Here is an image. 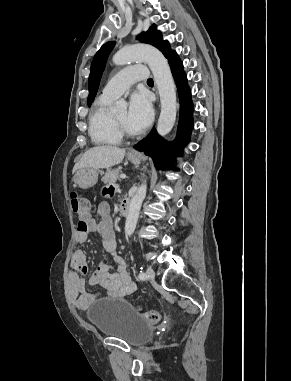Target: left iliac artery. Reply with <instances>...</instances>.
Wrapping results in <instances>:
<instances>
[{
    "label": "left iliac artery",
    "mask_w": 291,
    "mask_h": 381,
    "mask_svg": "<svg viewBox=\"0 0 291 381\" xmlns=\"http://www.w3.org/2000/svg\"><path fill=\"white\" fill-rule=\"evenodd\" d=\"M138 278H139L140 280H145V279H146V275H145V273H144L143 271H140V273L138 274Z\"/></svg>",
    "instance_id": "44dca946"
}]
</instances>
